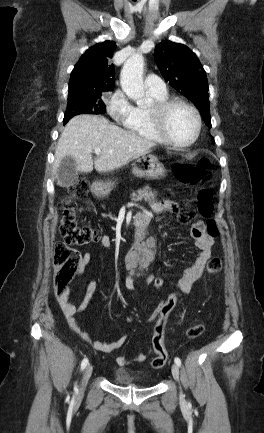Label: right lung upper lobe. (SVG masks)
<instances>
[{"label":"right lung upper lobe","instance_id":"1","mask_svg":"<svg viewBox=\"0 0 264 433\" xmlns=\"http://www.w3.org/2000/svg\"><path fill=\"white\" fill-rule=\"evenodd\" d=\"M115 49L113 41H105L89 48L81 56L71 72L68 98L113 90L114 66L109 60Z\"/></svg>","mask_w":264,"mask_h":433}]
</instances>
